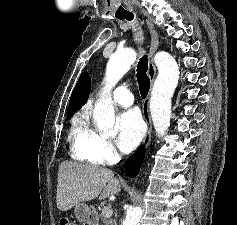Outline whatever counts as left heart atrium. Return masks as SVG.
Returning <instances> with one entry per match:
<instances>
[{"instance_id": "left-heart-atrium-1", "label": "left heart atrium", "mask_w": 237, "mask_h": 225, "mask_svg": "<svg viewBox=\"0 0 237 225\" xmlns=\"http://www.w3.org/2000/svg\"><path fill=\"white\" fill-rule=\"evenodd\" d=\"M117 144L121 151H132L141 141L144 134V124L140 114L135 110L122 113L118 118Z\"/></svg>"}]
</instances>
